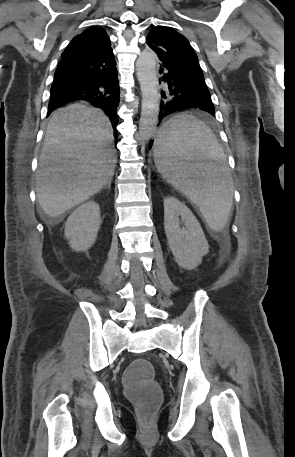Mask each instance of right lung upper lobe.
Segmentation results:
<instances>
[{"label":"right lung upper lobe","instance_id":"right-lung-upper-lobe-1","mask_svg":"<svg viewBox=\"0 0 295 457\" xmlns=\"http://www.w3.org/2000/svg\"><path fill=\"white\" fill-rule=\"evenodd\" d=\"M111 42L103 28L92 27L75 36L62 53L61 61L85 59L110 49Z\"/></svg>","mask_w":295,"mask_h":457}]
</instances>
